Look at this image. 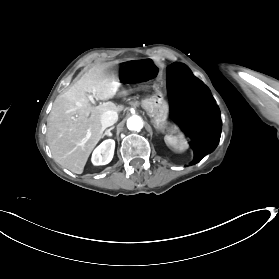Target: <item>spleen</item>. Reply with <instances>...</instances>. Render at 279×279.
I'll list each match as a JSON object with an SVG mask.
<instances>
[{
	"instance_id": "spleen-1",
	"label": "spleen",
	"mask_w": 279,
	"mask_h": 279,
	"mask_svg": "<svg viewBox=\"0 0 279 279\" xmlns=\"http://www.w3.org/2000/svg\"><path fill=\"white\" fill-rule=\"evenodd\" d=\"M164 140L167 146L171 147L174 150H178V149L183 150L186 147V143L184 142L180 134L178 135L167 134L165 135Z\"/></svg>"
}]
</instances>
